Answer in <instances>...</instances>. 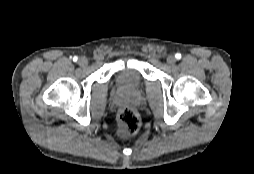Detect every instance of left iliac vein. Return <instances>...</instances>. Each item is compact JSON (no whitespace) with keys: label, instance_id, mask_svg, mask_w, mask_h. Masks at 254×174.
Segmentation results:
<instances>
[{"label":"left iliac vein","instance_id":"left-iliac-vein-1","mask_svg":"<svg viewBox=\"0 0 254 174\" xmlns=\"http://www.w3.org/2000/svg\"><path fill=\"white\" fill-rule=\"evenodd\" d=\"M175 62H176V58H175L174 55H169V56L167 57V63H168L169 65H174Z\"/></svg>","mask_w":254,"mask_h":174}]
</instances>
